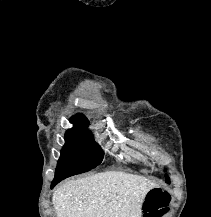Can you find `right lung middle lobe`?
I'll return each mask as SVG.
<instances>
[{
	"instance_id": "dd1d6c3e",
	"label": "right lung middle lobe",
	"mask_w": 211,
	"mask_h": 217,
	"mask_svg": "<svg viewBox=\"0 0 211 217\" xmlns=\"http://www.w3.org/2000/svg\"><path fill=\"white\" fill-rule=\"evenodd\" d=\"M65 145L58 160L55 179L87 172L102 160L104 152L87 128H73L65 134Z\"/></svg>"
}]
</instances>
